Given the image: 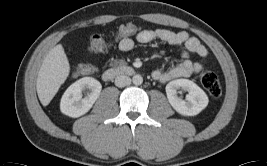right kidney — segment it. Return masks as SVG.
Here are the masks:
<instances>
[{
  "mask_svg": "<svg viewBox=\"0 0 267 166\" xmlns=\"http://www.w3.org/2000/svg\"><path fill=\"white\" fill-rule=\"evenodd\" d=\"M85 97L82 92L88 90ZM101 83L92 77H83L71 84L64 92L60 110L63 114L77 118L87 113L100 95Z\"/></svg>",
  "mask_w": 267,
  "mask_h": 166,
  "instance_id": "right-kidney-1",
  "label": "right kidney"
}]
</instances>
